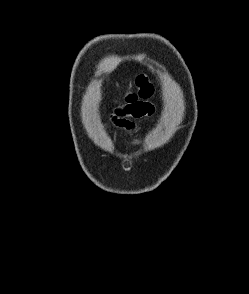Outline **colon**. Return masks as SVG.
Here are the masks:
<instances>
[{"mask_svg":"<svg viewBox=\"0 0 249 294\" xmlns=\"http://www.w3.org/2000/svg\"><path fill=\"white\" fill-rule=\"evenodd\" d=\"M137 92L130 93L126 99L128 101H136L139 98L146 99L151 97L153 93V86L149 82L148 78L144 75H140L135 82Z\"/></svg>","mask_w":249,"mask_h":294,"instance_id":"5ec220e1","label":"colon"}]
</instances>
